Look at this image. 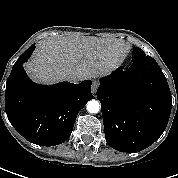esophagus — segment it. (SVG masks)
Listing matches in <instances>:
<instances>
[{
    "mask_svg": "<svg viewBox=\"0 0 178 178\" xmlns=\"http://www.w3.org/2000/svg\"><path fill=\"white\" fill-rule=\"evenodd\" d=\"M98 87H99V83L94 81L91 86V92L93 95L96 94Z\"/></svg>",
    "mask_w": 178,
    "mask_h": 178,
    "instance_id": "1",
    "label": "esophagus"
}]
</instances>
